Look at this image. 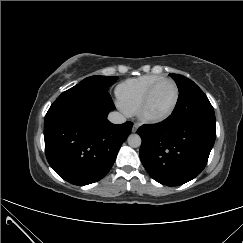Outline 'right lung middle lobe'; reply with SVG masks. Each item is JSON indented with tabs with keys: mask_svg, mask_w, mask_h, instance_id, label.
Returning <instances> with one entry per match:
<instances>
[{
	"mask_svg": "<svg viewBox=\"0 0 243 243\" xmlns=\"http://www.w3.org/2000/svg\"><path fill=\"white\" fill-rule=\"evenodd\" d=\"M118 79L117 76H91L80 82V84L88 85L102 91H108V87Z\"/></svg>",
	"mask_w": 243,
	"mask_h": 243,
	"instance_id": "1",
	"label": "right lung middle lobe"
}]
</instances>
